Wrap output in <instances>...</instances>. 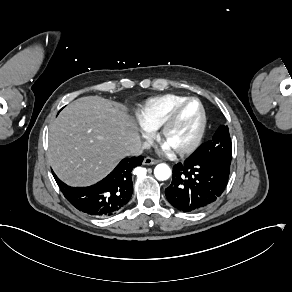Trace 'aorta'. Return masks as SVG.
I'll use <instances>...</instances> for the list:
<instances>
[{"label":"aorta","mask_w":292,"mask_h":292,"mask_svg":"<svg viewBox=\"0 0 292 292\" xmlns=\"http://www.w3.org/2000/svg\"><path fill=\"white\" fill-rule=\"evenodd\" d=\"M154 175L160 181L167 180L171 176V169L167 164H158L154 169Z\"/></svg>","instance_id":"762f6f07"}]
</instances>
